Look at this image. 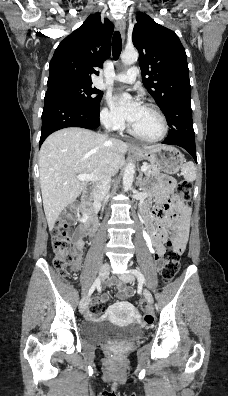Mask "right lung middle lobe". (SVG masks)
I'll return each instance as SVG.
<instances>
[{"label":"right lung middle lobe","instance_id":"obj_1","mask_svg":"<svg viewBox=\"0 0 228 396\" xmlns=\"http://www.w3.org/2000/svg\"><path fill=\"white\" fill-rule=\"evenodd\" d=\"M65 96L86 108H99L103 92L92 87V83L63 82L48 86L45 97Z\"/></svg>","mask_w":228,"mask_h":396}]
</instances>
